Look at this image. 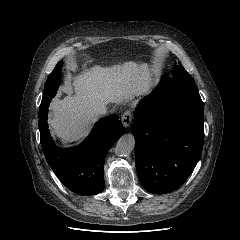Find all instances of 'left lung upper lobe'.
Returning <instances> with one entry per match:
<instances>
[{"mask_svg":"<svg viewBox=\"0 0 240 240\" xmlns=\"http://www.w3.org/2000/svg\"><path fill=\"white\" fill-rule=\"evenodd\" d=\"M173 79H178L185 82L195 83L192 76L184 69L182 65H175L173 68Z\"/></svg>","mask_w":240,"mask_h":240,"instance_id":"obj_1","label":"left lung upper lobe"}]
</instances>
